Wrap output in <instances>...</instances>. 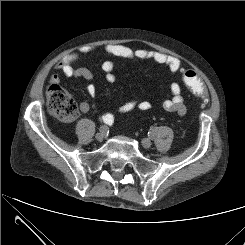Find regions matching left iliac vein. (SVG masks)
<instances>
[{"label":"left iliac vein","mask_w":245,"mask_h":245,"mask_svg":"<svg viewBox=\"0 0 245 245\" xmlns=\"http://www.w3.org/2000/svg\"><path fill=\"white\" fill-rule=\"evenodd\" d=\"M141 143H142L143 147L146 148V149L150 148L151 145H152L151 140L148 139V138H143Z\"/></svg>","instance_id":"left-iliac-vein-1"}]
</instances>
